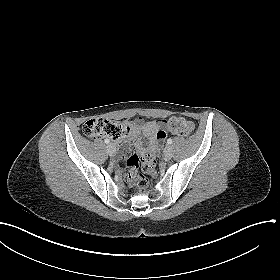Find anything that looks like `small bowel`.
Segmentation results:
<instances>
[{
  "label": "small bowel",
  "mask_w": 280,
  "mask_h": 280,
  "mask_svg": "<svg viewBox=\"0 0 280 280\" xmlns=\"http://www.w3.org/2000/svg\"><path fill=\"white\" fill-rule=\"evenodd\" d=\"M166 136L160 121L143 122L141 118H138L124 123L123 134L117 137L115 142L121 147L122 154L125 153V147L130 141L133 142L137 153L155 154L159 151Z\"/></svg>",
  "instance_id": "1"
}]
</instances>
